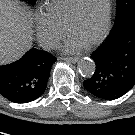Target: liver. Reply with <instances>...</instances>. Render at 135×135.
Wrapping results in <instances>:
<instances>
[{"label": "liver", "mask_w": 135, "mask_h": 135, "mask_svg": "<svg viewBox=\"0 0 135 135\" xmlns=\"http://www.w3.org/2000/svg\"><path fill=\"white\" fill-rule=\"evenodd\" d=\"M30 16L16 0H0V65L18 59L30 47Z\"/></svg>", "instance_id": "1"}]
</instances>
